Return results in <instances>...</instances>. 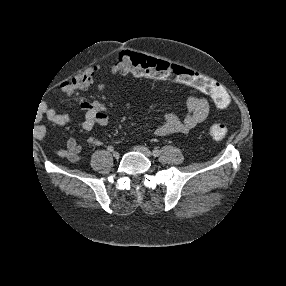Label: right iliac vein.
<instances>
[{"mask_svg": "<svg viewBox=\"0 0 286 286\" xmlns=\"http://www.w3.org/2000/svg\"><path fill=\"white\" fill-rule=\"evenodd\" d=\"M119 156H120L119 152H117V151H114V152H113V157H114V158L118 159Z\"/></svg>", "mask_w": 286, "mask_h": 286, "instance_id": "63e3f726", "label": "right iliac vein"}]
</instances>
